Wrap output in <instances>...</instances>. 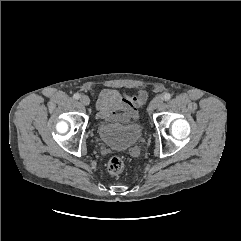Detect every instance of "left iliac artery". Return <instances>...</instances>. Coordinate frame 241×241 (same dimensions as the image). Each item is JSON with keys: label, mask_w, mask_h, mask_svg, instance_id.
<instances>
[{"label": "left iliac artery", "mask_w": 241, "mask_h": 241, "mask_svg": "<svg viewBox=\"0 0 241 241\" xmlns=\"http://www.w3.org/2000/svg\"><path fill=\"white\" fill-rule=\"evenodd\" d=\"M163 98H164L165 101H168V100L171 99V94H170V93H165V94L163 95Z\"/></svg>", "instance_id": "44dca946"}]
</instances>
